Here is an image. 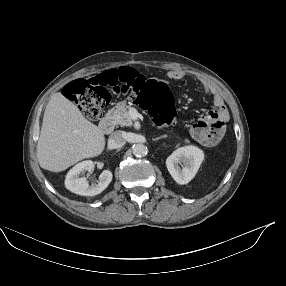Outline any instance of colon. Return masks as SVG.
<instances>
[{"label": "colon", "instance_id": "obj_1", "mask_svg": "<svg viewBox=\"0 0 286 286\" xmlns=\"http://www.w3.org/2000/svg\"><path fill=\"white\" fill-rule=\"evenodd\" d=\"M66 97L80 107L84 115L97 119L111 100L112 93L126 98L139 97L159 124L174 120V97L168 86L161 81L148 79L132 68L110 70L88 79H79L68 84ZM225 131V122L217 113H204L193 125L192 135L199 143L212 147L220 144Z\"/></svg>", "mask_w": 286, "mask_h": 286}]
</instances>
